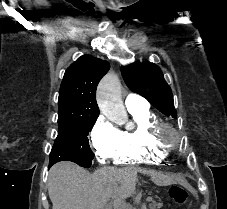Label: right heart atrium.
<instances>
[{
	"label": "right heart atrium",
	"instance_id": "d8ad5b80",
	"mask_svg": "<svg viewBox=\"0 0 227 209\" xmlns=\"http://www.w3.org/2000/svg\"><path fill=\"white\" fill-rule=\"evenodd\" d=\"M90 137L97 159L104 162L112 159L116 153L121 140V131L107 119L100 117Z\"/></svg>",
	"mask_w": 227,
	"mask_h": 209
}]
</instances>
